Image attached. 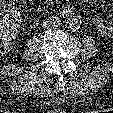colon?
I'll use <instances>...</instances> for the list:
<instances>
[{
  "mask_svg": "<svg viewBox=\"0 0 113 113\" xmlns=\"http://www.w3.org/2000/svg\"><path fill=\"white\" fill-rule=\"evenodd\" d=\"M30 0H0V50L10 40V32L17 19L15 14L20 13L22 5Z\"/></svg>",
  "mask_w": 113,
  "mask_h": 113,
  "instance_id": "colon-1",
  "label": "colon"
}]
</instances>
